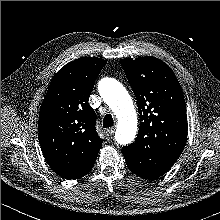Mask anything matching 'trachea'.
Returning <instances> with one entry per match:
<instances>
[{
	"label": "trachea",
	"instance_id": "3493384b",
	"mask_svg": "<svg viewBox=\"0 0 220 220\" xmlns=\"http://www.w3.org/2000/svg\"><path fill=\"white\" fill-rule=\"evenodd\" d=\"M113 124H114V122H113L112 115L111 114L105 115L104 120H103V127L109 128V127H112Z\"/></svg>",
	"mask_w": 220,
	"mask_h": 220
}]
</instances>
